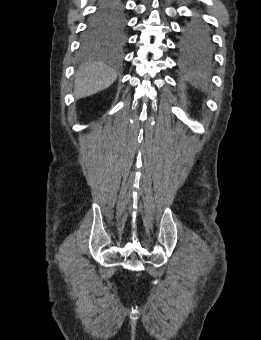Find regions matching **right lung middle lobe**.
I'll use <instances>...</instances> for the list:
<instances>
[{
  "label": "right lung middle lobe",
  "mask_w": 261,
  "mask_h": 340,
  "mask_svg": "<svg viewBox=\"0 0 261 340\" xmlns=\"http://www.w3.org/2000/svg\"><path fill=\"white\" fill-rule=\"evenodd\" d=\"M124 13L106 15L94 13L83 36V44L90 47L107 40H121L124 36Z\"/></svg>",
  "instance_id": "dd1d6c3e"
}]
</instances>
